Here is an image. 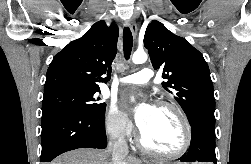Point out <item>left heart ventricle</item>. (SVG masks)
<instances>
[{"label":"left heart ventricle","instance_id":"left-heart-ventricle-1","mask_svg":"<svg viewBox=\"0 0 251 164\" xmlns=\"http://www.w3.org/2000/svg\"><path fill=\"white\" fill-rule=\"evenodd\" d=\"M142 135L147 145L164 152L178 150L184 137L182 124L175 112L159 107L154 108Z\"/></svg>","mask_w":251,"mask_h":164}]
</instances>
